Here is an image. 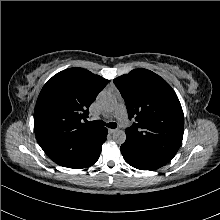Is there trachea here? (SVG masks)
<instances>
[{
    "mask_svg": "<svg viewBox=\"0 0 220 220\" xmlns=\"http://www.w3.org/2000/svg\"><path fill=\"white\" fill-rule=\"evenodd\" d=\"M86 124L93 125V126H107L109 128L115 129L117 127V124L115 122L105 123L102 120H95V121H86Z\"/></svg>",
    "mask_w": 220,
    "mask_h": 220,
    "instance_id": "obj_1",
    "label": "trachea"
}]
</instances>
